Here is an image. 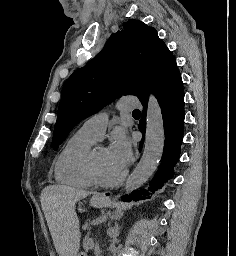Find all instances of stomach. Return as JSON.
I'll return each instance as SVG.
<instances>
[{
  "mask_svg": "<svg viewBox=\"0 0 236 256\" xmlns=\"http://www.w3.org/2000/svg\"><path fill=\"white\" fill-rule=\"evenodd\" d=\"M91 204L94 207H102L104 205V201L101 200H92ZM76 256H86L85 253H78Z\"/></svg>",
  "mask_w": 236,
  "mask_h": 256,
  "instance_id": "1",
  "label": "stomach"
}]
</instances>
